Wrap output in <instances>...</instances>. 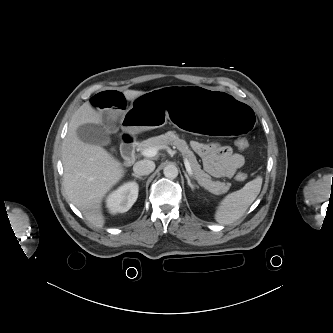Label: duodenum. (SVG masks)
<instances>
[{"instance_id":"1","label":"duodenum","mask_w":333,"mask_h":333,"mask_svg":"<svg viewBox=\"0 0 333 333\" xmlns=\"http://www.w3.org/2000/svg\"><path fill=\"white\" fill-rule=\"evenodd\" d=\"M136 138L131 134H124L121 144V153L127 165L135 161Z\"/></svg>"}]
</instances>
